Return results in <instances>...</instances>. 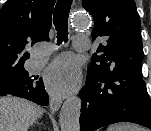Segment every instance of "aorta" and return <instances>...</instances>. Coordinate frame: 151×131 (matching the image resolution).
Returning a JSON list of instances; mask_svg holds the SVG:
<instances>
[{
  "instance_id": "762f6f07",
  "label": "aorta",
  "mask_w": 151,
  "mask_h": 131,
  "mask_svg": "<svg viewBox=\"0 0 151 131\" xmlns=\"http://www.w3.org/2000/svg\"><path fill=\"white\" fill-rule=\"evenodd\" d=\"M72 26L77 29H86L89 26V19L85 14H78L74 17ZM80 109V98L71 96L66 99L59 116L61 131H80Z\"/></svg>"
}]
</instances>
